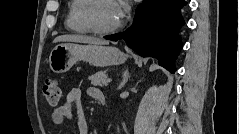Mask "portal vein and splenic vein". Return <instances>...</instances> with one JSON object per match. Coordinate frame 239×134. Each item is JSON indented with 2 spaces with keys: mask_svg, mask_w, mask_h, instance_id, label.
Returning a JSON list of instances; mask_svg holds the SVG:
<instances>
[{
  "mask_svg": "<svg viewBox=\"0 0 239 134\" xmlns=\"http://www.w3.org/2000/svg\"><path fill=\"white\" fill-rule=\"evenodd\" d=\"M110 82H112V79H111V78H108V79H107V83H110Z\"/></svg>",
  "mask_w": 239,
  "mask_h": 134,
  "instance_id": "obj_1",
  "label": "portal vein and splenic vein"
}]
</instances>
